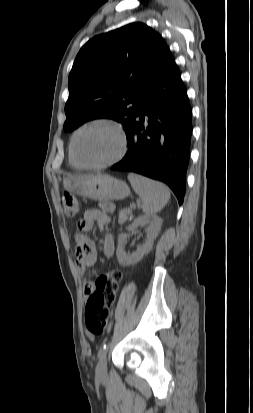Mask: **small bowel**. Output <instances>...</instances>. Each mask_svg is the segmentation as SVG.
Here are the masks:
<instances>
[{"label": "small bowel", "mask_w": 253, "mask_h": 413, "mask_svg": "<svg viewBox=\"0 0 253 413\" xmlns=\"http://www.w3.org/2000/svg\"><path fill=\"white\" fill-rule=\"evenodd\" d=\"M115 211V205L109 202L101 204L100 209H89L84 213L83 218L78 223L79 232L75 236L76 264L80 275L83 278L84 294L89 296L94 284L90 268L97 260V251L93 241L86 235V232L93 228L94 224L104 231L110 223V214ZM115 243L113 237L104 232L102 240V254L109 258L114 254Z\"/></svg>", "instance_id": "small-bowel-1"}]
</instances>
